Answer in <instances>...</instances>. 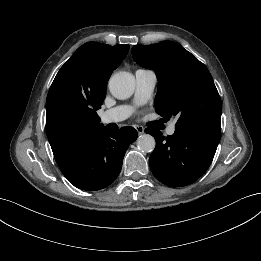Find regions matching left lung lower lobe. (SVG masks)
<instances>
[{"mask_svg":"<svg viewBox=\"0 0 261 261\" xmlns=\"http://www.w3.org/2000/svg\"><path fill=\"white\" fill-rule=\"evenodd\" d=\"M154 136L156 147L149 158L153 175L171 187L186 186L195 182L209 168L219 134L187 132L175 129L173 135L162 136L159 130L147 128Z\"/></svg>","mask_w":261,"mask_h":261,"instance_id":"left-lung-lower-lobe-1","label":"left lung lower lobe"}]
</instances>
